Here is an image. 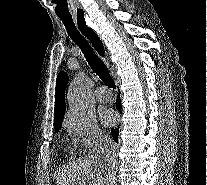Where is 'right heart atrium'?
<instances>
[{
  "mask_svg": "<svg viewBox=\"0 0 207 185\" xmlns=\"http://www.w3.org/2000/svg\"><path fill=\"white\" fill-rule=\"evenodd\" d=\"M63 124L71 138L88 152L96 151L106 139L105 132L92 112L68 111Z\"/></svg>",
  "mask_w": 207,
  "mask_h": 185,
  "instance_id": "obj_1",
  "label": "right heart atrium"
}]
</instances>
